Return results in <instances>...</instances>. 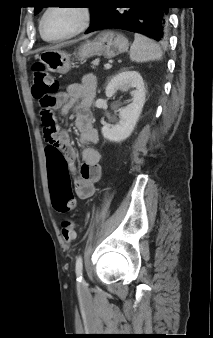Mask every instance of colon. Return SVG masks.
Returning <instances> with one entry per match:
<instances>
[{
	"label": "colon",
	"instance_id": "colon-1",
	"mask_svg": "<svg viewBox=\"0 0 213 338\" xmlns=\"http://www.w3.org/2000/svg\"><path fill=\"white\" fill-rule=\"evenodd\" d=\"M59 90L57 78L44 69L41 63L33 65L32 94L38 102L39 114L43 123V136L45 140L53 142L52 134L56 131L53 117V108L56 104L55 95ZM52 204L59 212H68L76 206L70 188L62 184H55L52 188ZM61 235L66 243L72 242L76 237V228L73 222L64 220L61 225Z\"/></svg>",
	"mask_w": 213,
	"mask_h": 338
}]
</instances>
